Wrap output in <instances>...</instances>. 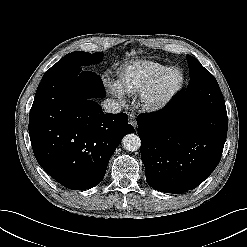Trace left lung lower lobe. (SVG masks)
<instances>
[{"instance_id":"1","label":"left lung lower lobe","mask_w":247,"mask_h":247,"mask_svg":"<svg viewBox=\"0 0 247 247\" xmlns=\"http://www.w3.org/2000/svg\"><path fill=\"white\" fill-rule=\"evenodd\" d=\"M137 124L147 183L180 194L196 188L217 167L228 118L219 85L208 72L190 80L164 109L140 114Z\"/></svg>"}]
</instances>
